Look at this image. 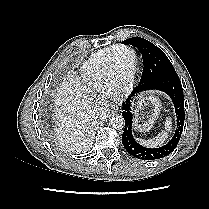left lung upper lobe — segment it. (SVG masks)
<instances>
[{
  "mask_svg": "<svg viewBox=\"0 0 209 209\" xmlns=\"http://www.w3.org/2000/svg\"><path fill=\"white\" fill-rule=\"evenodd\" d=\"M122 43L137 47L142 54L144 68L139 84H148L163 74L175 72L164 52L146 39L133 37Z\"/></svg>",
  "mask_w": 209,
  "mask_h": 209,
  "instance_id": "left-lung-upper-lobe-1",
  "label": "left lung upper lobe"
}]
</instances>
